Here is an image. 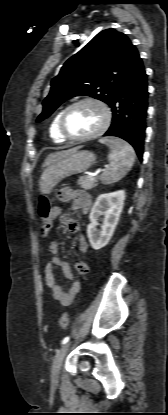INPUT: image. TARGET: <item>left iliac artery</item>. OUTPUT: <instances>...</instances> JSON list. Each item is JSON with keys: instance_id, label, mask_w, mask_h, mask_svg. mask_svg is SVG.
Listing matches in <instances>:
<instances>
[{"instance_id": "1", "label": "left iliac artery", "mask_w": 168, "mask_h": 415, "mask_svg": "<svg viewBox=\"0 0 168 415\" xmlns=\"http://www.w3.org/2000/svg\"><path fill=\"white\" fill-rule=\"evenodd\" d=\"M68 341H69V336L65 337V338L62 340V344L64 345V344H66Z\"/></svg>"}]
</instances>
